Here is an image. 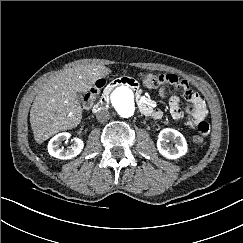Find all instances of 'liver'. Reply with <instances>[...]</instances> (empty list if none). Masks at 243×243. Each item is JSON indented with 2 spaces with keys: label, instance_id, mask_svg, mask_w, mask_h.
I'll return each mask as SVG.
<instances>
[{
  "label": "liver",
  "instance_id": "1",
  "mask_svg": "<svg viewBox=\"0 0 243 243\" xmlns=\"http://www.w3.org/2000/svg\"><path fill=\"white\" fill-rule=\"evenodd\" d=\"M110 72L102 65H77L46 80L40 86L30 110L35 141L41 144L59 131L80 124L82 108L77 92L86 93L96 80Z\"/></svg>",
  "mask_w": 243,
  "mask_h": 243
}]
</instances>
